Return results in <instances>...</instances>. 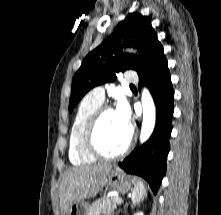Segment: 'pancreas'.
Returning <instances> with one entry per match:
<instances>
[{
  "mask_svg": "<svg viewBox=\"0 0 221 215\" xmlns=\"http://www.w3.org/2000/svg\"><path fill=\"white\" fill-rule=\"evenodd\" d=\"M118 196L104 197L96 200L89 207L88 215H112L117 209L118 203L116 199Z\"/></svg>",
  "mask_w": 221,
  "mask_h": 215,
  "instance_id": "1",
  "label": "pancreas"
}]
</instances>
